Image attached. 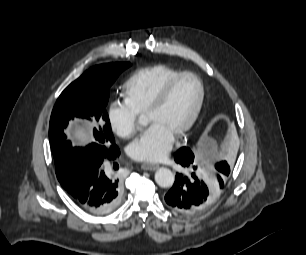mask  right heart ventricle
Instances as JSON below:
<instances>
[{"label":"right heart ventricle","instance_id":"e07e8e85","mask_svg":"<svg viewBox=\"0 0 306 255\" xmlns=\"http://www.w3.org/2000/svg\"><path fill=\"white\" fill-rule=\"evenodd\" d=\"M180 72V70L164 64L137 70L124 84L125 102L138 114L145 113L164 85Z\"/></svg>","mask_w":306,"mask_h":255}]
</instances>
